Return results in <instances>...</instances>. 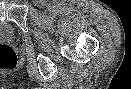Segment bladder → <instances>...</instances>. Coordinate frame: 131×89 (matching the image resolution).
<instances>
[{"label": "bladder", "instance_id": "bladder-1", "mask_svg": "<svg viewBox=\"0 0 131 89\" xmlns=\"http://www.w3.org/2000/svg\"><path fill=\"white\" fill-rule=\"evenodd\" d=\"M14 37L13 27L8 22H0V39L12 40Z\"/></svg>", "mask_w": 131, "mask_h": 89}]
</instances>
